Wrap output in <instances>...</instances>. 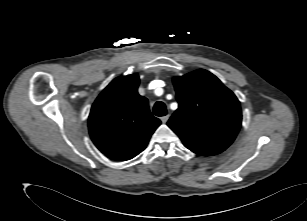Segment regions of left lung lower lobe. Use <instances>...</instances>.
I'll use <instances>...</instances> for the list:
<instances>
[{
  "instance_id": "obj_1",
  "label": "left lung lower lobe",
  "mask_w": 307,
  "mask_h": 221,
  "mask_svg": "<svg viewBox=\"0 0 307 221\" xmlns=\"http://www.w3.org/2000/svg\"><path fill=\"white\" fill-rule=\"evenodd\" d=\"M195 153L202 155V156H211V155H215V154H211L205 151H194Z\"/></svg>"
}]
</instances>
